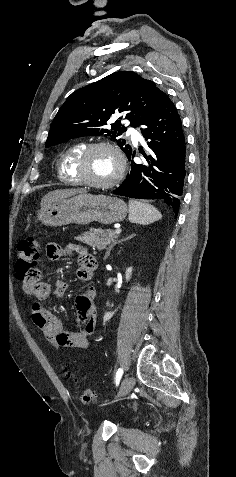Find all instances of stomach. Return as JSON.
Returning a JSON list of instances; mask_svg holds the SVG:
<instances>
[{
    "mask_svg": "<svg viewBox=\"0 0 236 477\" xmlns=\"http://www.w3.org/2000/svg\"><path fill=\"white\" fill-rule=\"evenodd\" d=\"M127 215V205L121 199L80 193L40 209L38 220L46 226L67 224L87 225L91 222L109 225L121 222Z\"/></svg>",
    "mask_w": 236,
    "mask_h": 477,
    "instance_id": "stomach-1",
    "label": "stomach"
}]
</instances>
